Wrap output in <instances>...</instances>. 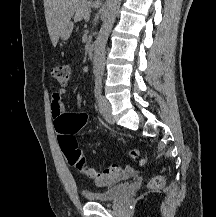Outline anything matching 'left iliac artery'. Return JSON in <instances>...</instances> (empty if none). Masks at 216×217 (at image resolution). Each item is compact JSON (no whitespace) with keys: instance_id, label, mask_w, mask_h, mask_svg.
<instances>
[{"instance_id":"44dca946","label":"left iliac artery","mask_w":216,"mask_h":217,"mask_svg":"<svg viewBox=\"0 0 216 217\" xmlns=\"http://www.w3.org/2000/svg\"><path fill=\"white\" fill-rule=\"evenodd\" d=\"M101 90H102V76L96 75L95 78V96L97 99L101 97Z\"/></svg>"}]
</instances>
